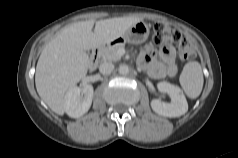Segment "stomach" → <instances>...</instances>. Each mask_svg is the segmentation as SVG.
Returning a JSON list of instances; mask_svg holds the SVG:
<instances>
[{"label":"stomach","mask_w":238,"mask_h":158,"mask_svg":"<svg viewBox=\"0 0 238 158\" xmlns=\"http://www.w3.org/2000/svg\"><path fill=\"white\" fill-rule=\"evenodd\" d=\"M149 33V26L145 22L139 21L132 25L122 36L114 41L140 44L147 40Z\"/></svg>","instance_id":"stomach-1"}]
</instances>
